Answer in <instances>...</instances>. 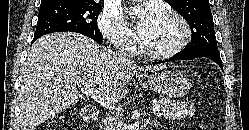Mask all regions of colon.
I'll list each match as a JSON object with an SVG mask.
<instances>
[{"label":"colon","instance_id":"1","mask_svg":"<svg viewBox=\"0 0 249 130\" xmlns=\"http://www.w3.org/2000/svg\"><path fill=\"white\" fill-rule=\"evenodd\" d=\"M46 130H57V125L55 121L48 123L46 126Z\"/></svg>","mask_w":249,"mask_h":130}]
</instances>
